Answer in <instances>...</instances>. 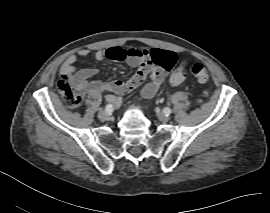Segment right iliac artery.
Listing matches in <instances>:
<instances>
[{
	"label": "right iliac artery",
	"mask_w": 270,
	"mask_h": 213,
	"mask_svg": "<svg viewBox=\"0 0 270 213\" xmlns=\"http://www.w3.org/2000/svg\"><path fill=\"white\" fill-rule=\"evenodd\" d=\"M105 110H106L108 113H110V112H112V110H113V106H112L111 104H107V105L105 106Z\"/></svg>",
	"instance_id": "1"
}]
</instances>
